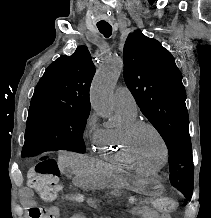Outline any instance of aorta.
<instances>
[{
    "label": "aorta",
    "instance_id": "aorta-1",
    "mask_svg": "<svg viewBox=\"0 0 211 218\" xmlns=\"http://www.w3.org/2000/svg\"><path fill=\"white\" fill-rule=\"evenodd\" d=\"M122 69L121 58L107 57L94 76L90 101L92 108L103 118H109L112 115L111 97Z\"/></svg>",
    "mask_w": 211,
    "mask_h": 218
}]
</instances>
